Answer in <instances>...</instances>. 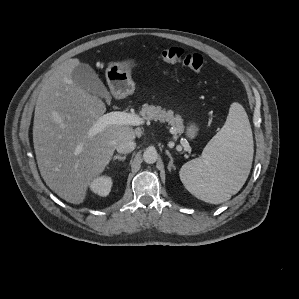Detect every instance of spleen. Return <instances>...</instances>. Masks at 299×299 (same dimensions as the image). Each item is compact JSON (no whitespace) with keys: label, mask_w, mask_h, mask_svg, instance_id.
Instances as JSON below:
<instances>
[{"label":"spleen","mask_w":299,"mask_h":299,"mask_svg":"<svg viewBox=\"0 0 299 299\" xmlns=\"http://www.w3.org/2000/svg\"><path fill=\"white\" fill-rule=\"evenodd\" d=\"M253 152L247 113L241 104L234 102L224 126L206 145L201 157L182 166L180 179L198 199L211 204L225 202L246 182Z\"/></svg>","instance_id":"obj_1"}]
</instances>
